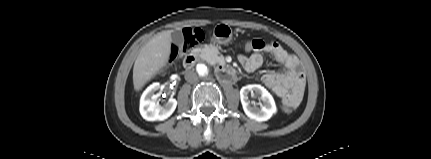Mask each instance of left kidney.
<instances>
[{
  "label": "left kidney",
  "mask_w": 431,
  "mask_h": 159,
  "mask_svg": "<svg viewBox=\"0 0 431 159\" xmlns=\"http://www.w3.org/2000/svg\"><path fill=\"white\" fill-rule=\"evenodd\" d=\"M249 93L256 94L262 101L260 103V108L250 104L248 98ZM240 99L245 114L250 119L258 122L267 121L277 112V107L272 95L259 84H250L242 87L240 90Z\"/></svg>",
  "instance_id": "5707ae66"
}]
</instances>
